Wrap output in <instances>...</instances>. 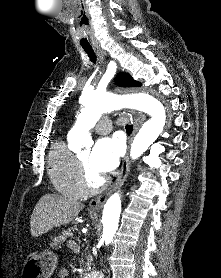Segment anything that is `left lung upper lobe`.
Listing matches in <instances>:
<instances>
[{
  "label": "left lung upper lobe",
  "instance_id": "obj_1",
  "mask_svg": "<svg viewBox=\"0 0 221 278\" xmlns=\"http://www.w3.org/2000/svg\"><path fill=\"white\" fill-rule=\"evenodd\" d=\"M116 84L121 87H137L141 86V83L135 81L129 74L127 73H119L115 78Z\"/></svg>",
  "mask_w": 221,
  "mask_h": 278
}]
</instances>
